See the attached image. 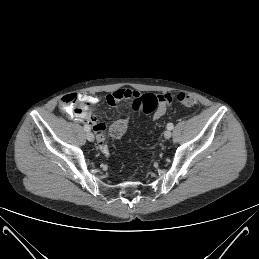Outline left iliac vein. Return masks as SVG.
I'll list each match as a JSON object with an SVG mask.
<instances>
[{
	"instance_id": "1",
	"label": "left iliac vein",
	"mask_w": 259,
	"mask_h": 259,
	"mask_svg": "<svg viewBox=\"0 0 259 259\" xmlns=\"http://www.w3.org/2000/svg\"><path fill=\"white\" fill-rule=\"evenodd\" d=\"M171 135H172V133H171V131L169 129L164 132V137L166 139H169L171 137Z\"/></svg>"
}]
</instances>
